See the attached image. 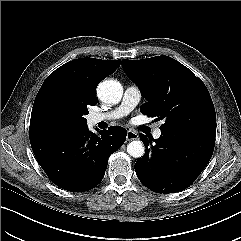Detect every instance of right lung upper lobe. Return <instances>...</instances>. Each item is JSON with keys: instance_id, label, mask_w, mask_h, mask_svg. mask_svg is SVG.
<instances>
[{"instance_id": "obj_1", "label": "right lung upper lobe", "mask_w": 241, "mask_h": 241, "mask_svg": "<svg viewBox=\"0 0 241 241\" xmlns=\"http://www.w3.org/2000/svg\"><path fill=\"white\" fill-rule=\"evenodd\" d=\"M119 66L120 60L80 58L69 61L52 72L43 82L34 101L29 129L30 140L43 137L34 131V121L37 108L46 97L61 93L78 105H96L97 85Z\"/></svg>"}]
</instances>
